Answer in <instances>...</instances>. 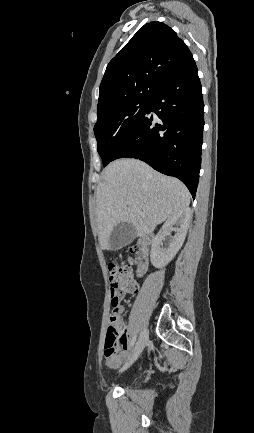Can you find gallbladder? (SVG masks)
Instances as JSON below:
<instances>
[{"mask_svg": "<svg viewBox=\"0 0 254 433\" xmlns=\"http://www.w3.org/2000/svg\"><path fill=\"white\" fill-rule=\"evenodd\" d=\"M136 236L135 227L128 222L118 223L112 230L109 243L111 250H119L132 242Z\"/></svg>", "mask_w": 254, "mask_h": 433, "instance_id": "obj_1", "label": "gallbladder"}]
</instances>
